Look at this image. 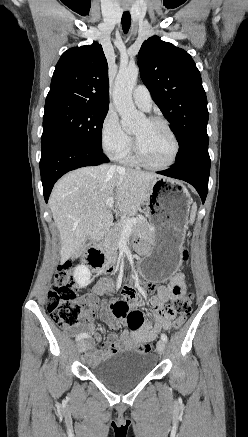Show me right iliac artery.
<instances>
[{"mask_svg":"<svg viewBox=\"0 0 248 437\" xmlns=\"http://www.w3.org/2000/svg\"><path fill=\"white\" fill-rule=\"evenodd\" d=\"M88 337H89L88 334H86V333H80V334H78V335L76 336V340H81V339L88 338Z\"/></svg>","mask_w":248,"mask_h":437,"instance_id":"obj_1","label":"right iliac artery"}]
</instances>
